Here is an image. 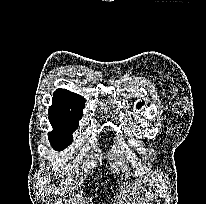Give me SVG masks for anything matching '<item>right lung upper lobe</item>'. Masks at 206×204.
Returning a JSON list of instances; mask_svg holds the SVG:
<instances>
[{"label":"right lung upper lobe","mask_w":206,"mask_h":204,"mask_svg":"<svg viewBox=\"0 0 206 204\" xmlns=\"http://www.w3.org/2000/svg\"><path fill=\"white\" fill-rule=\"evenodd\" d=\"M85 99L66 89L55 91L49 112L72 114L82 117Z\"/></svg>","instance_id":"cb5924a9"}]
</instances>
